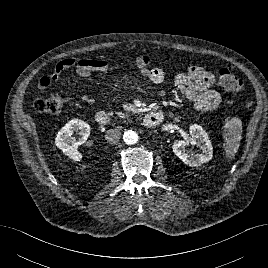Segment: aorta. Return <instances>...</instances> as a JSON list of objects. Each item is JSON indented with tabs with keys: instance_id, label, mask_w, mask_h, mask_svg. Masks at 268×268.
<instances>
[{
	"instance_id": "762f6f07",
	"label": "aorta",
	"mask_w": 268,
	"mask_h": 268,
	"mask_svg": "<svg viewBox=\"0 0 268 268\" xmlns=\"http://www.w3.org/2000/svg\"><path fill=\"white\" fill-rule=\"evenodd\" d=\"M138 134L135 131L128 130L123 134V140L126 144H135L138 142Z\"/></svg>"
}]
</instances>
